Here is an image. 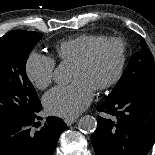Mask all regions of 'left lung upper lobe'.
<instances>
[{"instance_id": "left-lung-upper-lobe-1", "label": "left lung upper lobe", "mask_w": 155, "mask_h": 155, "mask_svg": "<svg viewBox=\"0 0 155 155\" xmlns=\"http://www.w3.org/2000/svg\"><path fill=\"white\" fill-rule=\"evenodd\" d=\"M151 81H155L154 59L146 42L140 36L139 50L132 55L122 78L109 96L118 95L132 88L145 86Z\"/></svg>"}]
</instances>
